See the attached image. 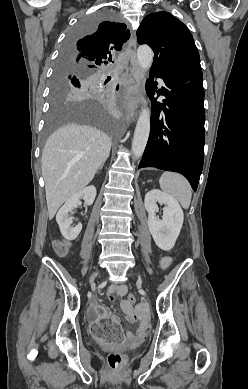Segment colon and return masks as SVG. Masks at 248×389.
Instances as JSON below:
<instances>
[{"label": "colon", "instance_id": "1", "mask_svg": "<svg viewBox=\"0 0 248 389\" xmlns=\"http://www.w3.org/2000/svg\"><path fill=\"white\" fill-rule=\"evenodd\" d=\"M54 248L59 255H64L67 252V245L61 241L54 243ZM136 298L133 294H129L127 302L129 305H133ZM97 317L100 318L99 322H91L90 327L92 333H95L97 339L101 344H120L121 343V323L111 322L110 318H106V307L104 305H98L96 307ZM124 356L120 352H112L108 356V363L111 370H119L123 366Z\"/></svg>", "mask_w": 248, "mask_h": 389}]
</instances>
